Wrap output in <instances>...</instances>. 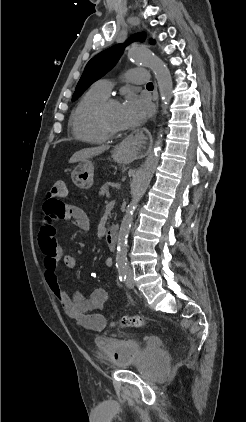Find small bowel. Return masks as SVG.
I'll return each mask as SVG.
<instances>
[{"instance_id":"obj_1","label":"small bowel","mask_w":246,"mask_h":422,"mask_svg":"<svg viewBox=\"0 0 246 422\" xmlns=\"http://www.w3.org/2000/svg\"><path fill=\"white\" fill-rule=\"evenodd\" d=\"M44 217L39 231V244L44 255V270L46 282L60 302L66 315L80 326L102 331L108 319L100 312L109 298L108 291L103 287L94 288L88 295L80 291L69 295L61 286L58 277V263L63 261L67 268L76 266V258L66 254L56 239L55 223L69 221L83 231L89 230V219L85 212L77 206L63 203L57 209H51L47 203L43 206ZM107 267H112L111 258L105 260ZM115 315L111 316L114 318Z\"/></svg>"}]
</instances>
